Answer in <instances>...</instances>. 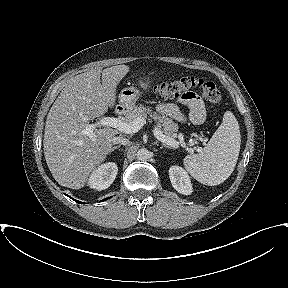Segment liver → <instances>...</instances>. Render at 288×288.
<instances>
[{
    "instance_id": "1",
    "label": "liver",
    "mask_w": 288,
    "mask_h": 288,
    "mask_svg": "<svg viewBox=\"0 0 288 288\" xmlns=\"http://www.w3.org/2000/svg\"><path fill=\"white\" fill-rule=\"evenodd\" d=\"M128 72L129 66L117 65L76 75L52 105L45 124L44 156L52 176L61 186L84 187L90 174L111 152L117 130L96 128L95 141L82 131L90 120L114 107L117 85Z\"/></svg>"
}]
</instances>
